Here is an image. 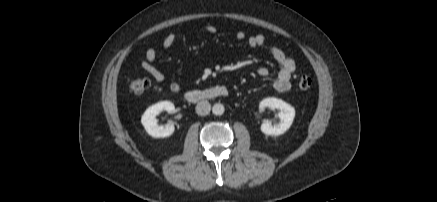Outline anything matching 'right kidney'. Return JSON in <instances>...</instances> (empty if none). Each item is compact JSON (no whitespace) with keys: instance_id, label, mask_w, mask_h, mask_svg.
Listing matches in <instances>:
<instances>
[{"instance_id":"obj_1","label":"right kidney","mask_w":437,"mask_h":202,"mask_svg":"<svg viewBox=\"0 0 437 202\" xmlns=\"http://www.w3.org/2000/svg\"><path fill=\"white\" fill-rule=\"evenodd\" d=\"M174 110V104L170 101H161L150 106L141 118V123L146 132L154 138H165L171 136L175 130L173 123L169 122L166 125H158L156 115L162 111L171 113Z\"/></svg>"}]
</instances>
